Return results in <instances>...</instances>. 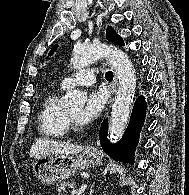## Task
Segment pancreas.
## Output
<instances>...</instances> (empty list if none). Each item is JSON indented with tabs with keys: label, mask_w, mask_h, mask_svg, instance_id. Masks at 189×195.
Listing matches in <instances>:
<instances>
[{
	"label": "pancreas",
	"mask_w": 189,
	"mask_h": 195,
	"mask_svg": "<svg viewBox=\"0 0 189 195\" xmlns=\"http://www.w3.org/2000/svg\"><path fill=\"white\" fill-rule=\"evenodd\" d=\"M74 182L72 183H69V182H60L57 187H58V192L59 193H64L65 192V189L66 187H71L73 188L74 187Z\"/></svg>",
	"instance_id": "obj_1"
}]
</instances>
